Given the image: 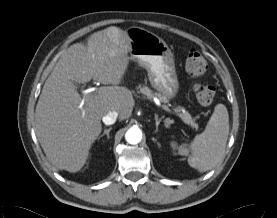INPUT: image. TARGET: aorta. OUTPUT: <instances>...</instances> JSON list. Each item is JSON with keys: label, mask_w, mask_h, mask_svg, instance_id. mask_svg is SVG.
<instances>
[{"label": "aorta", "mask_w": 277, "mask_h": 218, "mask_svg": "<svg viewBox=\"0 0 277 218\" xmlns=\"http://www.w3.org/2000/svg\"><path fill=\"white\" fill-rule=\"evenodd\" d=\"M125 139L129 144H138L142 139V132L138 127H131L127 130Z\"/></svg>", "instance_id": "obj_1"}]
</instances>
